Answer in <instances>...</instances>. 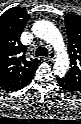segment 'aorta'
I'll list each match as a JSON object with an SVG mask.
<instances>
[{
    "label": "aorta",
    "instance_id": "1",
    "mask_svg": "<svg viewBox=\"0 0 81 124\" xmlns=\"http://www.w3.org/2000/svg\"><path fill=\"white\" fill-rule=\"evenodd\" d=\"M32 30L37 37L53 45L57 52L54 73L58 76L65 75L69 68V57L63 37L57 27L49 21L41 20L33 24Z\"/></svg>",
    "mask_w": 81,
    "mask_h": 124
}]
</instances>
